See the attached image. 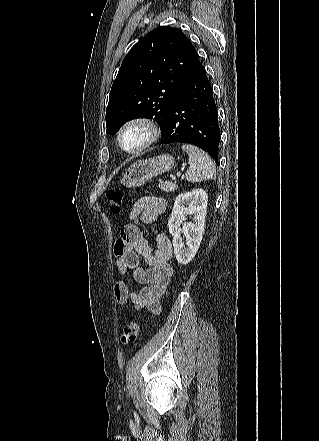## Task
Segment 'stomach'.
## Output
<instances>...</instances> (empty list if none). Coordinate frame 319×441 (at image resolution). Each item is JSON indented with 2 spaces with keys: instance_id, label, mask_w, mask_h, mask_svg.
<instances>
[{
  "instance_id": "0dacf381",
  "label": "stomach",
  "mask_w": 319,
  "mask_h": 441,
  "mask_svg": "<svg viewBox=\"0 0 319 441\" xmlns=\"http://www.w3.org/2000/svg\"><path fill=\"white\" fill-rule=\"evenodd\" d=\"M174 163L173 156L167 154L137 161L122 174L120 183L128 188L139 187L152 177L172 169Z\"/></svg>"
}]
</instances>
